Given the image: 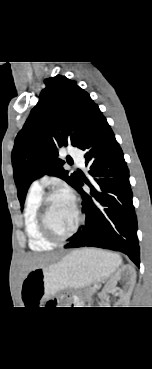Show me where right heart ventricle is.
Masks as SVG:
<instances>
[{"instance_id": "e07e8e85", "label": "right heart ventricle", "mask_w": 152, "mask_h": 369, "mask_svg": "<svg viewBox=\"0 0 152 369\" xmlns=\"http://www.w3.org/2000/svg\"><path fill=\"white\" fill-rule=\"evenodd\" d=\"M42 197V190L30 189L25 199L23 214L24 226L28 237V244L34 251L49 250L54 246L53 242H50L44 237L38 223L39 207Z\"/></svg>"}]
</instances>
